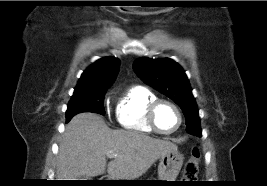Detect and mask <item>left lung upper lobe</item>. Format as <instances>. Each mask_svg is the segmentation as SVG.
Instances as JSON below:
<instances>
[{"instance_id":"left-lung-upper-lobe-1","label":"left lung upper lobe","mask_w":267,"mask_h":186,"mask_svg":"<svg viewBox=\"0 0 267 186\" xmlns=\"http://www.w3.org/2000/svg\"><path fill=\"white\" fill-rule=\"evenodd\" d=\"M137 75L147 84L171 98L186 118V130L201 136L200 118L185 71L169 58H140L133 64Z\"/></svg>"}]
</instances>
